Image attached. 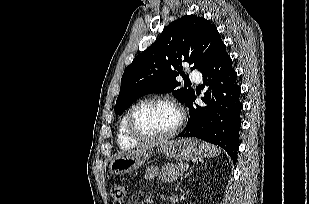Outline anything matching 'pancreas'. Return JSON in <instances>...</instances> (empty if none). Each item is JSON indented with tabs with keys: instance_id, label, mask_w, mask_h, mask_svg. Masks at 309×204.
<instances>
[{
	"instance_id": "cf45deb5",
	"label": "pancreas",
	"mask_w": 309,
	"mask_h": 204,
	"mask_svg": "<svg viewBox=\"0 0 309 204\" xmlns=\"http://www.w3.org/2000/svg\"><path fill=\"white\" fill-rule=\"evenodd\" d=\"M186 165L179 163L177 165H171L162 169L159 175V179L166 183V182H173L179 176H182L183 172L186 170Z\"/></svg>"
}]
</instances>
